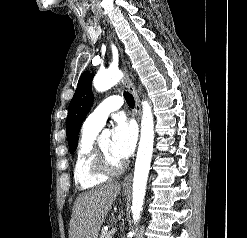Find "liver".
Returning <instances> with one entry per match:
<instances>
[{
	"instance_id": "6515ba94",
	"label": "liver",
	"mask_w": 247,
	"mask_h": 238,
	"mask_svg": "<svg viewBox=\"0 0 247 238\" xmlns=\"http://www.w3.org/2000/svg\"><path fill=\"white\" fill-rule=\"evenodd\" d=\"M120 190V184L113 182L80 194L74 203L69 238H98Z\"/></svg>"
}]
</instances>
